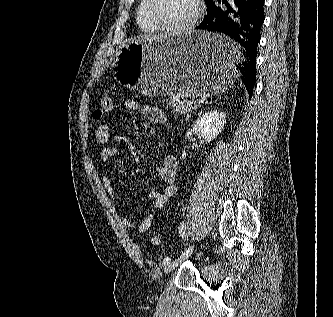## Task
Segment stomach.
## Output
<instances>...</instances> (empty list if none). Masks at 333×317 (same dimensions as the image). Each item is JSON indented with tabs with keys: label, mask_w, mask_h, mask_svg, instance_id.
<instances>
[{
	"label": "stomach",
	"mask_w": 333,
	"mask_h": 317,
	"mask_svg": "<svg viewBox=\"0 0 333 317\" xmlns=\"http://www.w3.org/2000/svg\"><path fill=\"white\" fill-rule=\"evenodd\" d=\"M230 33L192 31L183 34L135 39L116 54L120 84L149 96L220 95L236 88L238 41Z\"/></svg>",
	"instance_id": "1"
}]
</instances>
